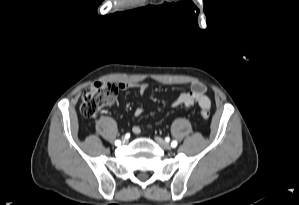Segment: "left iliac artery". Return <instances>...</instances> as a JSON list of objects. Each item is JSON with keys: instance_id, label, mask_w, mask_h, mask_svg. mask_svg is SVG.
I'll list each match as a JSON object with an SVG mask.
<instances>
[{"instance_id": "left-iliac-artery-1", "label": "left iliac artery", "mask_w": 299, "mask_h": 205, "mask_svg": "<svg viewBox=\"0 0 299 205\" xmlns=\"http://www.w3.org/2000/svg\"><path fill=\"white\" fill-rule=\"evenodd\" d=\"M171 146L174 148V147H176L177 146V141H172V143H171Z\"/></svg>"}]
</instances>
